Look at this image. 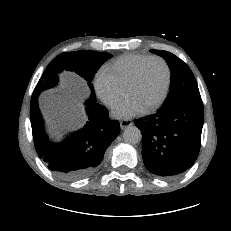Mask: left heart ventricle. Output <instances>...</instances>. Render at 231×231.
<instances>
[{
  "instance_id": "obj_1",
  "label": "left heart ventricle",
  "mask_w": 231,
  "mask_h": 231,
  "mask_svg": "<svg viewBox=\"0 0 231 231\" xmlns=\"http://www.w3.org/2000/svg\"><path fill=\"white\" fill-rule=\"evenodd\" d=\"M166 81L164 65L157 60L149 62L127 97L135 99L144 108L154 104L160 97Z\"/></svg>"
}]
</instances>
